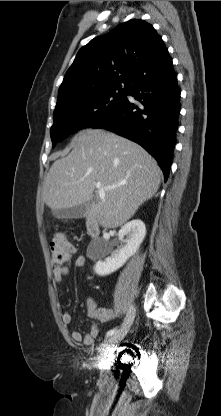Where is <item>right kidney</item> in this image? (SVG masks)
<instances>
[{
  "label": "right kidney",
  "instance_id": "right-kidney-1",
  "mask_svg": "<svg viewBox=\"0 0 221 416\" xmlns=\"http://www.w3.org/2000/svg\"><path fill=\"white\" fill-rule=\"evenodd\" d=\"M145 235L146 227L140 219H134L122 226L118 232V237L125 245L114 251L111 256L106 257L104 261L99 260L94 266L95 273L105 276L122 267L139 249ZM124 236H127L126 240L123 239Z\"/></svg>",
  "mask_w": 221,
  "mask_h": 416
}]
</instances>
